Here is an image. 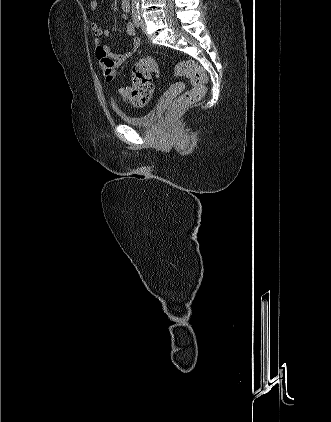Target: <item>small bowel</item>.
<instances>
[{"label":"small bowel","instance_id":"small-bowel-1","mask_svg":"<svg viewBox=\"0 0 331 422\" xmlns=\"http://www.w3.org/2000/svg\"><path fill=\"white\" fill-rule=\"evenodd\" d=\"M98 7L97 0L90 1V9L95 11ZM122 9V19L126 20L128 18V12L130 10V4L126 5L123 1L121 2ZM90 30L94 34V46L96 51V57L99 61V65L102 71V75L106 81H112L115 77L116 68L121 66L127 60H129L142 46V41L140 38L135 37L131 42V49L125 51L121 54L112 53L110 47L101 41V37L109 36L110 31L107 27L101 26L96 22L90 24ZM125 32L128 36L135 35V26L133 23L128 22L125 27Z\"/></svg>","mask_w":331,"mask_h":422}]
</instances>
